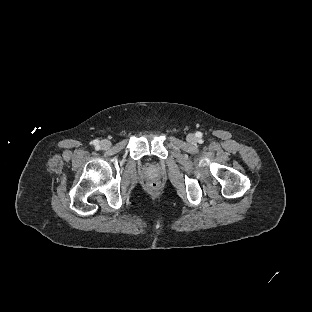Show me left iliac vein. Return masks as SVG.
Masks as SVG:
<instances>
[{
	"instance_id": "left-iliac-vein-1",
	"label": "left iliac vein",
	"mask_w": 312,
	"mask_h": 312,
	"mask_svg": "<svg viewBox=\"0 0 312 312\" xmlns=\"http://www.w3.org/2000/svg\"><path fill=\"white\" fill-rule=\"evenodd\" d=\"M186 139H187L188 142H192V141L196 140V137H195L194 134H189V135H187Z\"/></svg>"
}]
</instances>
